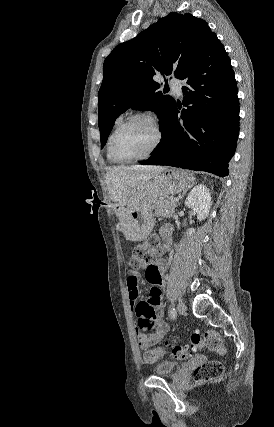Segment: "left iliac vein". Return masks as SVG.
Instances as JSON below:
<instances>
[{"instance_id":"4c4485c4","label":"left iliac vein","mask_w":274,"mask_h":427,"mask_svg":"<svg viewBox=\"0 0 274 427\" xmlns=\"http://www.w3.org/2000/svg\"><path fill=\"white\" fill-rule=\"evenodd\" d=\"M177 310L179 313H182V314L186 313L187 311L186 305L183 302H179L177 304Z\"/></svg>"}]
</instances>
